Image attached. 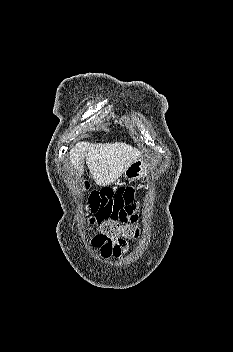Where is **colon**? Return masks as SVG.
Returning a JSON list of instances; mask_svg holds the SVG:
<instances>
[{
	"mask_svg": "<svg viewBox=\"0 0 233 352\" xmlns=\"http://www.w3.org/2000/svg\"><path fill=\"white\" fill-rule=\"evenodd\" d=\"M98 224V237L102 240H123L135 239L140 234V229L133 223H122L115 219H106Z\"/></svg>",
	"mask_w": 233,
	"mask_h": 352,
	"instance_id": "obj_1",
	"label": "colon"
}]
</instances>
